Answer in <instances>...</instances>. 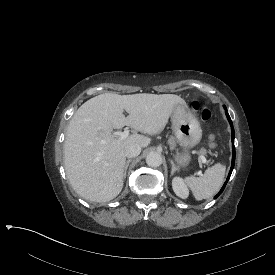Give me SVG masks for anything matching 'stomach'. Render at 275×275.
<instances>
[{"label":"stomach","mask_w":275,"mask_h":275,"mask_svg":"<svg viewBox=\"0 0 275 275\" xmlns=\"http://www.w3.org/2000/svg\"><path fill=\"white\" fill-rule=\"evenodd\" d=\"M170 120L175 138L180 146L190 148L201 139V127L193 113L184 105L175 104L171 110ZM186 158L181 161L185 162Z\"/></svg>","instance_id":"obj_1"}]
</instances>
